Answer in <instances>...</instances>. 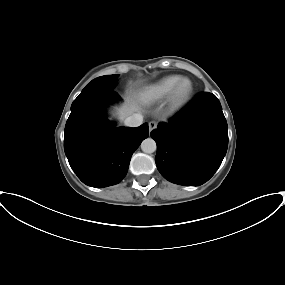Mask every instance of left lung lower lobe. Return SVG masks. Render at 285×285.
Returning <instances> with one entry per match:
<instances>
[{
	"instance_id": "1",
	"label": "left lung lower lobe",
	"mask_w": 285,
	"mask_h": 285,
	"mask_svg": "<svg viewBox=\"0 0 285 285\" xmlns=\"http://www.w3.org/2000/svg\"><path fill=\"white\" fill-rule=\"evenodd\" d=\"M157 144L155 162L168 181L199 186L222 163L228 147V126L218 98L200 93L168 123L151 132Z\"/></svg>"
}]
</instances>
